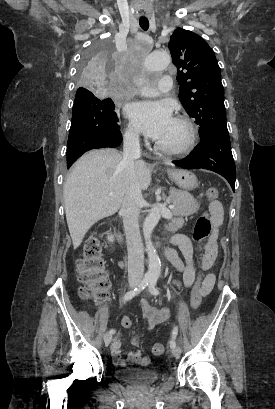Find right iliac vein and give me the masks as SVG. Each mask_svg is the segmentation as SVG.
Returning <instances> with one entry per match:
<instances>
[{
  "label": "right iliac vein",
  "instance_id": "63e3f726",
  "mask_svg": "<svg viewBox=\"0 0 275 409\" xmlns=\"http://www.w3.org/2000/svg\"><path fill=\"white\" fill-rule=\"evenodd\" d=\"M138 285L136 281L130 282V287L134 288ZM112 340V334L110 332L105 333L104 335V342L105 344H110Z\"/></svg>",
  "mask_w": 275,
  "mask_h": 409
}]
</instances>
